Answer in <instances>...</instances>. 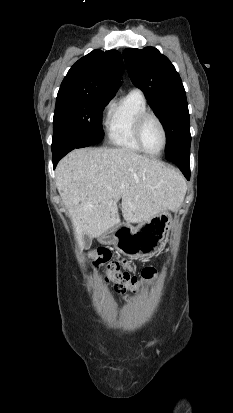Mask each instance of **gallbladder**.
Listing matches in <instances>:
<instances>
[{"instance_id":"bac80fb5","label":"gallbladder","mask_w":233,"mask_h":413,"mask_svg":"<svg viewBox=\"0 0 233 413\" xmlns=\"http://www.w3.org/2000/svg\"><path fill=\"white\" fill-rule=\"evenodd\" d=\"M91 244H92L91 238L87 234H85L83 236V245H84V247L89 248L91 246Z\"/></svg>"}]
</instances>
